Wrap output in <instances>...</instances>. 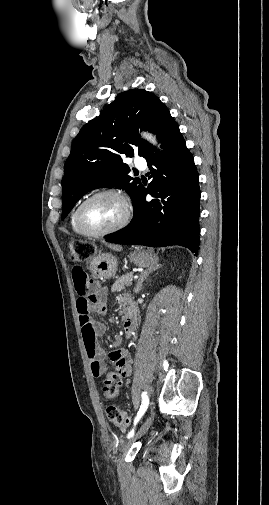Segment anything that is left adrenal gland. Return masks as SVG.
Segmentation results:
<instances>
[{"mask_svg":"<svg viewBox=\"0 0 269 505\" xmlns=\"http://www.w3.org/2000/svg\"><path fill=\"white\" fill-rule=\"evenodd\" d=\"M161 267H162V265H161V264H156L155 266H152V267H150V268H148V269L144 270V271L140 274V277H139V279H138V281H137V284H136V286H135V288H134V293H135V294H138V293L142 290V288H143V283H144V281H147V280H148L149 275H150L152 272H154V271L158 270V269H159V268H161Z\"/></svg>","mask_w":269,"mask_h":505,"instance_id":"left-adrenal-gland-1","label":"left adrenal gland"}]
</instances>
